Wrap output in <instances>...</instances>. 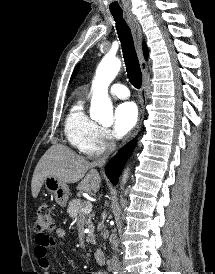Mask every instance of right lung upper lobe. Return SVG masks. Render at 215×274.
Listing matches in <instances>:
<instances>
[{
  "label": "right lung upper lobe",
  "mask_w": 215,
  "mask_h": 274,
  "mask_svg": "<svg viewBox=\"0 0 215 274\" xmlns=\"http://www.w3.org/2000/svg\"><path fill=\"white\" fill-rule=\"evenodd\" d=\"M143 50H144V55H145V58H147V54H148V52H147V48H146V46H145V45H143ZM77 70H78V66H76V68H75V70H74V72H73L72 78L75 76V74H76Z\"/></svg>",
  "instance_id": "1"
}]
</instances>
